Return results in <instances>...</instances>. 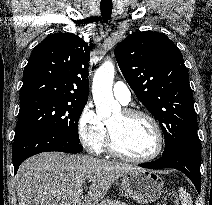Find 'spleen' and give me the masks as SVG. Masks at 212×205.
<instances>
[{
  "label": "spleen",
  "instance_id": "1",
  "mask_svg": "<svg viewBox=\"0 0 212 205\" xmlns=\"http://www.w3.org/2000/svg\"><path fill=\"white\" fill-rule=\"evenodd\" d=\"M179 198L181 200L182 205H193L190 195L182 187L179 188Z\"/></svg>",
  "mask_w": 212,
  "mask_h": 205
}]
</instances>
